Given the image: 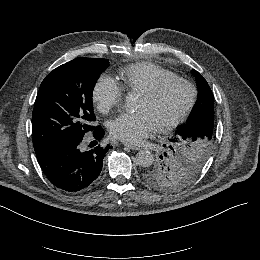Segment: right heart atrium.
I'll use <instances>...</instances> for the list:
<instances>
[{"label": "right heart atrium", "instance_id": "1", "mask_svg": "<svg viewBox=\"0 0 260 260\" xmlns=\"http://www.w3.org/2000/svg\"><path fill=\"white\" fill-rule=\"evenodd\" d=\"M124 96V87L108 74H103L98 78L92 91L93 101L102 113H109L121 106Z\"/></svg>", "mask_w": 260, "mask_h": 260}]
</instances>
